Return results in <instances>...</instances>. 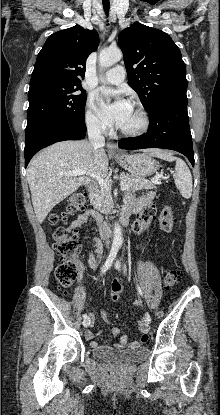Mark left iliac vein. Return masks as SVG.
<instances>
[{
	"label": "left iliac vein",
	"instance_id": "left-iliac-vein-1",
	"mask_svg": "<svg viewBox=\"0 0 220 415\" xmlns=\"http://www.w3.org/2000/svg\"><path fill=\"white\" fill-rule=\"evenodd\" d=\"M115 268L117 269V270H120L121 269V265H120V262L119 261H117L116 263H115ZM146 321H147V323L149 324L151 321H148L147 319H146Z\"/></svg>",
	"mask_w": 220,
	"mask_h": 415
}]
</instances>
